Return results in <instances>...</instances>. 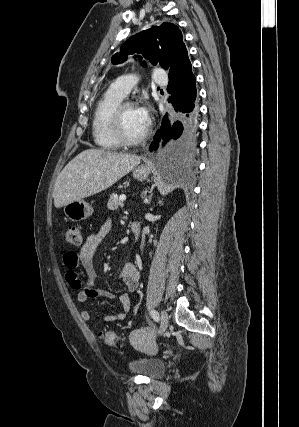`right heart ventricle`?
<instances>
[{
    "label": "right heart ventricle",
    "instance_id": "right-heart-ventricle-1",
    "mask_svg": "<svg viewBox=\"0 0 299 427\" xmlns=\"http://www.w3.org/2000/svg\"><path fill=\"white\" fill-rule=\"evenodd\" d=\"M123 98L110 87L96 103L92 117V137L101 150L112 151L120 146L110 131V115Z\"/></svg>",
    "mask_w": 299,
    "mask_h": 427
}]
</instances>
